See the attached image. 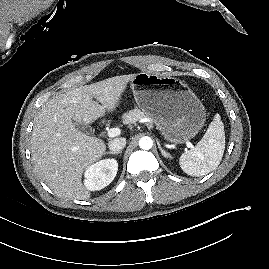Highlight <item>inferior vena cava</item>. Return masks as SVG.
<instances>
[{"label":"inferior vena cava","instance_id":"602c4592","mask_svg":"<svg viewBox=\"0 0 269 269\" xmlns=\"http://www.w3.org/2000/svg\"><path fill=\"white\" fill-rule=\"evenodd\" d=\"M126 145V139L121 138H115L114 140L110 141L108 146L111 151H121Z\"/></svg>","mask_w":269,"mask_h":269}]
</instances>
